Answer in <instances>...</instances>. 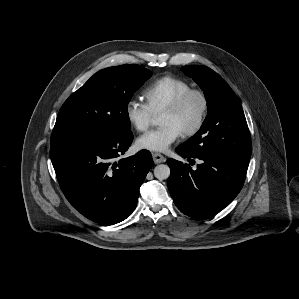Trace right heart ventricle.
<instances>
[{"mask_svg":"<svg viewBox=\"0 0 299 299\" xmlns=\"http://www.w3.org/2000/svg\"><path fill=\"white\" fill-rule=\"evenodd\" d=\"M191 89V85L184 79L174 76H164L143 91L146 105L153 114L161 113L179 95Z\"/></svg>","mask_w":299,"mask_h":299,"instance_id":"obj_1","label":"right heart ventricle"}]
</instances>
